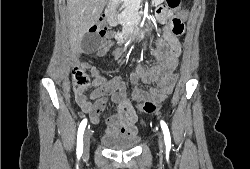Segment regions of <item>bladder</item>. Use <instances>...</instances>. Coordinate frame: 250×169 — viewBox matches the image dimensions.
I'll use <instances>...</instances> for the list:
<instances>
[{"mask_svg":"<svg viewBox=\"0 0 250 169\" xmlns=\"http://www.w3.org/2000/svg\"><path fill=\"white\" fill-rule=\"evenodd\" d=\"M103 147L110 151H132L141 141L138 134L129 133L103 134L100 137Z\"/></svg>","mask_w":250,"mask_h":169,"instance_id":"bladder-1","label":"bladder"}]
</instances>
